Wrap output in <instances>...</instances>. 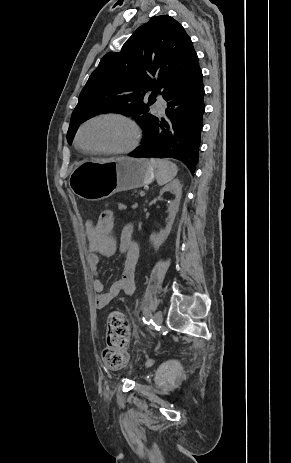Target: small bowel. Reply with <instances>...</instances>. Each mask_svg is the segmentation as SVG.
Segmentation results:
<instances>
[{"label":"small bowel","mask_w":291,"mask_h":463,"mask_svg":"<svg viewBox=\"0 0 291 463\" xmlns=\"http://www.w3.org/2000/svg\"><path fill=\"white\" fill-rule=\"evenodd\" d=\"M115 225V221H114ZM114 227L107 228L101 233L98 231V220L88 222L86 233L88 237V264L95 291V307L103 309L120 293L132 295L135 292V267L139 256V247L134 238L132 225H125L120 234L119 250L124 254L121 276L105 289L100 274L101 257L112 256L117 249V242L113 235Z\"/></svg>","instance_id":"obj_1"}]
</instances>
